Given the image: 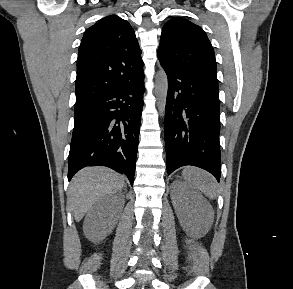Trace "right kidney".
<instances>
[{
  "instance_id": "obj_1",
  "label": "right kidney",
  "mask_w": 293,
  "mask_h": 289,
  "mask_svg": "<svg viewBox=\"0 0 293 289\" xmlns=\"http://www.w3.org/2000/svg\"><path fill=\"white\" fill-rule=\"evenodd\" d=\"M124 205V196H109L99 200L84 220V233L94 242L104 239L116 225Z\"/></svg>"
}]
</instances>
